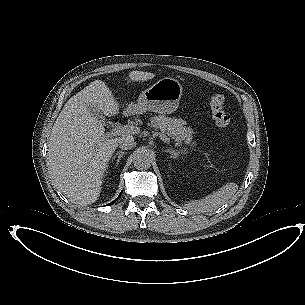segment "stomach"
<instances>
[{
  "label": "stomach",
  "mask_w": 305,
  "mask_h": 305,
  "mask_svg": "<svg viewBox=\"0 0 305 305\" xmlns=\"http://www.w3.org/2000/svg\"><path fill=\"white\" fill-rule=\"evenodd\" d=\"M183 94V85L177 79L162 77L139 95L137 108L171 114L178 108Z\"/></svg>",
  "instance_id": "1"
}]
</instances>
